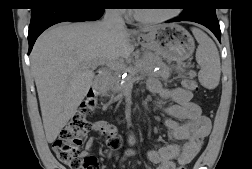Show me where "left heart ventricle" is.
<instances>
[{"mask_svg": "<svg viewBox=\"0 0 252 169\" xmlns=\"http://www.w3.org/2000/svg\"><path fill=\"white\" fill-rule=\"evenodd\" d=\"M163 12H166V11H158V10H151V9H138L137 10V13L144 17H155L162 14Z\"/></svg>", "mask_w": 252, "mask_h": 169, "instance_id": "left-heart-ventricle-1", "label": "left heart ventricle"}]
</instances>
